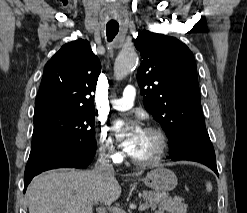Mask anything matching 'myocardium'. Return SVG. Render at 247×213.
Returning <instances> with one entry per match:
<instances>
[{
  "instance_id": "f54148a6",
  "label": "myocardium",
  "mask_w": 247,
  "mask_h": 213,
  "mask_svg": "<svg viewBox=\"0 0 247 213\" xmlns=\"http://www.w3.org/2000/svg\"><path fill=\"white\" fill-rule=\"evenodd\" d=\"M145 131L155 134L159 140V147L156 154L152 158L146 160L137 159L132 155H130V159L134 164L139 166H154L160 163L166 156L169 148L168 137L159 127L151 126L146 128Z\"/></svg>"
}]
</instances>
